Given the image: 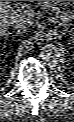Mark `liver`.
I'll use <instances>...</instances> for the list:
<instances>
[{"mask_svg": "<svg viewBox=\"0 0 74 122\" xmlns=\"http://www.w3.org/2000/svg\"><path fill=\"white\" fill-rule=\"evenodd\" d=\"M25 15L29 19V25L33 23L35 11L26 3H15L14 5H2L0 8V34L3 35L12 16Z\"/></svg>", "mask_w": 74, "mask_h": 122, "instance_id": "liver-1", "label": "liver"}]
</instances>
